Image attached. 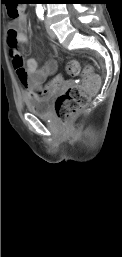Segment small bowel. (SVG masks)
<instances>
[{"label": "small bowel", "mask_w": 122, "mask_h": 257, "mask_svg": "<svg viewBox=\"0 0 122 257\" xmlns=\"http://www.w3.org/2000/svg\"><path fill=\"white\" fill-rule=\"evenodd\" d=\"M26 31V14L22 12L17 19L10 22L7 31V45L10 50V60H12V64H14V73H17L19 82L28 90L26 98H29L33 96L31 89H47V87H44V82H49L47 79L53 74L63 73H55L57 64L53 60L39 66L36 60H28V55H24V52L18 51V45H25L29 41ZM32 83H41V88H32ZM54 91L55 90H48L47 94Z\"/></svg>", "instance_id": "obj_1"}]
</instances>
